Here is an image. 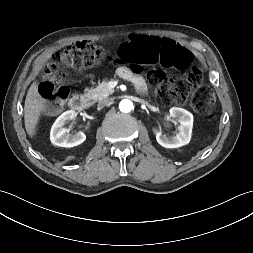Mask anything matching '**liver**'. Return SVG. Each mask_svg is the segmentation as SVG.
Instances as JSON below:
<instances>
[{
  "mask_svg": "<svg viewBox=\"0 0 253 253\" xmlns=\"http://www.w3.org/2000/svg\"><path fill=\"white\" fill-rule=\"evenodd\" d=\"M43 103L44 100L38 92V86L33 82L27 92L24 105L25 129L30 137L35 135Z\"/></svg>",
  "mask_w": 253,
  "mask_h": 253,
  "instance_id": "obj_1",
  "label": "liver"
}]
</instances>
